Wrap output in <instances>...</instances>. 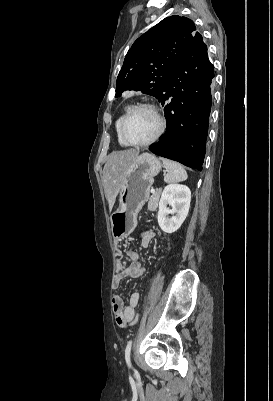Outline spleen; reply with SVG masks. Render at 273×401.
<instances>
[{
	"mask_svg": "<svg viewBox=\"0 0 273 401\" xmlns=\"http://www.w3.org/2000/svg\"><path fill=\"white\" fill-rule=\"evenodd\" d=\"M163 162L164 168L168 170L164 176L165 182H180V180H186L187 172L179 162L169 160V158H160Z\"/></svg>",
	"mask_w": 273,
	"mask_h": 401,
	"instance_id": "obj_1",
	"label": "spleen"
}]
</instances>
